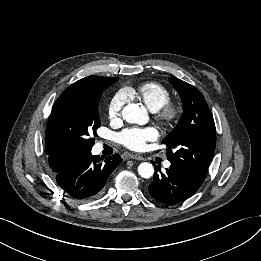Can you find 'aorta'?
Listing matches in <instances>:
<instances>
[{
    "mask_svg": "<svg viewBox=\"0 0 261 261\" xmlns=\"http://www.w3.org/2000/svg\"><path fill=\"white\" fill-rule=\"evenodd\" d=\"M122 117L128 123L144 125L148 122L147 110L144 106L131 103L122 110ZM138 174L142 178H150L154 174V167L151 163L143 162L138 166Z\"/></svg>",
    "mask_w": 261,
    "mask_h": 261,
    "instance_id": "aorta-1",
    "label": "aorta"
}]
</instances>
